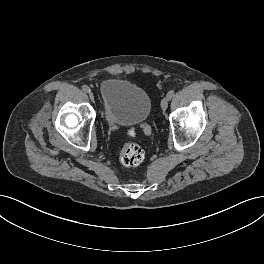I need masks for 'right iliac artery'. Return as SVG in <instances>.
Masks as SVG:
<instances>
[{
    "mask_svg": "<svg viewBox=\"0 0 264 264\" xmlns=\"http://www.w3.org/2000/svg\"><path fill=\"white\" fill-rule=\"evenodd\" d=\"M82 89H83V91L86 92V93H89V92L91 91L90 88H89L87 85H84V86L82 87Z\"/></svg>",
    "mask_w": 264,
    "mask_h": 264,
    "instance_id": "1",
    "label": "right iliac artery"
}]
</instances>
